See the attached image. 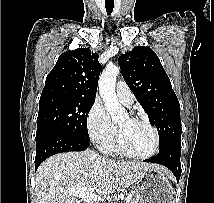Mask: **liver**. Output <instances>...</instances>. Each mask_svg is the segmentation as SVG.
<instances>
[{
  "mask_svg": "<svg viewBox=\"0 0 214 203\" xmlns=\"http://www.w3.org/2000/svg\"><path fill=\"white\" fill-rule=\"evenodd\" d=\"M146 166L156 165L118 162L90 150L56 154L45 160L37 170V201L82 203L69 192L72 188H94L97 195L109 196L123 186L135 184L139 171Z\"/></svg>",
  "mask_w": 214,
  "mask_h": 203,
  "instance_id": "1",
  "label": "liver"
}]
</instances>
